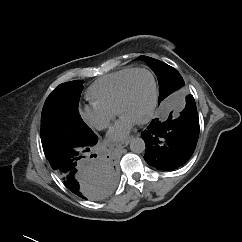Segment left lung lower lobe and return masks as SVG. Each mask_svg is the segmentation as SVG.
<instances>
[{
	"instance_id": "0a47b994",
	"label": "left lung lower lobe",
	"mask_w": 242,
	"mask_h": 242,
	"mask_svg": "<svg viewBox=\"0 0 242 242\" xmlns=\"http://www.w3.org/2000/svg\"><path fill=\"white\" fill-rule=\"evenodd\" d=\"M199 136V118L193 96L186 99L180 117L171 113L164 122L153 119L142 138L146 144L145 161L159 170H175L192 156Z\"/></svg>"
}]
</instances>
